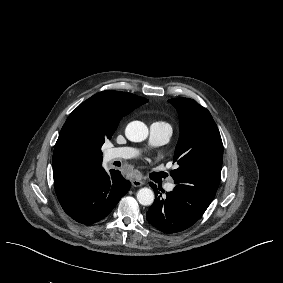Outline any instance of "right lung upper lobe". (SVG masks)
Here are the masks:
<instances>
[{"label": "right lung upper lobe", "mask_w": 283, "mask_h": 283, "mask_svg": "<svg viewBox=\"0 0 283 283\" xmlns=\"http://www.w3.org/2000/svg\"><path fill=\"white\" fill-rule=\"evenodd\" d=\"M148 102L137 95L106 90L79 105L63 125L53 153L55 190L65 189L102 165L101 147L121 118Z\"/></svg>", "instance_id": "1"}]
</instances>
